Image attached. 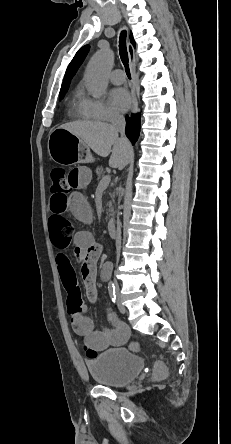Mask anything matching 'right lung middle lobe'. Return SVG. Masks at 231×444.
<instances>
[{
    "label": "right lung middle lobe",
    "mask_w": 231,
    "mask_h": 444,
    "mask_svg": "<svg viewBox=\"0 0 231 444\" xmlns=\"http://www.w3.org/2000/svg\"><path fill=\"white\" fill-rule=\"evenodd\" d=\"M67 90H68V89H62V90H60V93H59L60 99H62V98L64 97V95H65V93L67 92Z\"/></svg>",
    "instance_id": "obj_1"
}]
</instances>
